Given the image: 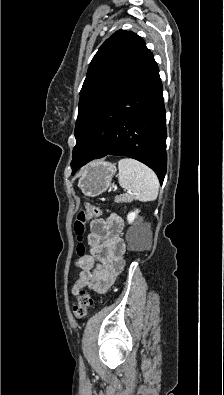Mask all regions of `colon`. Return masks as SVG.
Masks as SVG:
<instances>
[{
    "instance_id": "colon-1",
    "label": "colon",
    "mask_w": 224,
    "mask_h": 395,
    "mask_svg": "<svg viewBox=\"0 0 224 395\" xmlns=\"http://www.w3.org/2000/svg\"><path fill=\"white\" fill-rule=\"evenodd\" d=\"M101 215L102 210L93 204H86L83 207V209L78 213L77 219L74 223V232L79 241L82 239V235L84 234L86 221L90 218H96ZM77 253L79 255L84 253V246L82 243L78 244ZM93 303L94 300L92 295L86 289H81L78 293L77 304L73 307L74 316L78 319L86 317L88 310L93 306Z\"/></svg>"
}]
</instances>
